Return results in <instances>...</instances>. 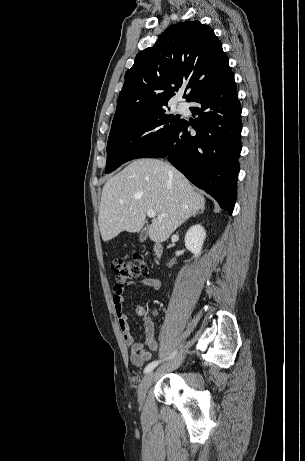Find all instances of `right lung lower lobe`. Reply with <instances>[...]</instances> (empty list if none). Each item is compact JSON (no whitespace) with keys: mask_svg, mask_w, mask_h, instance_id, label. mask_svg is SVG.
Returning a JSON list of instances; mask_svg holds the SVG:
<instances>
[{"mask_svg":"<svg viewBox=\"0 0 305 461\" xmlns=\"http://www.w3.org/2000/svg\"><path fill=\"white\" fill-rule=\"evenodd\" d=\"M189 102L200 104L190 108L194 116L198 115L195 124L181 120L159 148L141 158L167 157L231 215L237 195L242 130L234 74L204 89ZM190 127L196 134H190Z\"/></svg>","mask_w":305,"mask_h":461,"instance_id":"right-lung-lower-lobe-1","label":"right lung lower lobe"}]
</instances>
